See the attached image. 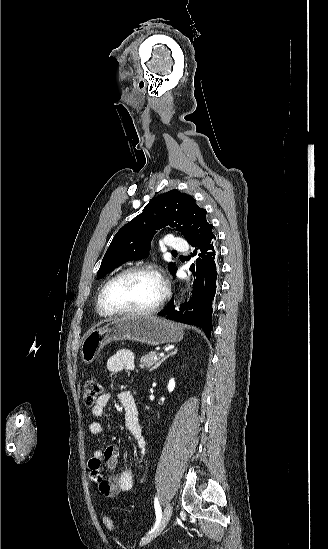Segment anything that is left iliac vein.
I'll return each instance as SVG.
<instances>
[{
  "label": "left iliac vein",
  "mask_w": 328,
  "mask_h": 549,
  "mask_svg": "<svg viewBox=\"0 0 328 549\" xmlns=\"http://www.w3.org/2000/svg\"><path fill=\"white\" fill-rule=\"evenodd\" d=\"M171 514H172V505H171L170 502H168L166 504L165 508H164L162 519H161V522L159 523L158 527L156 528V530L152 534H150L147 538H145L139 544V547L147 545L150 541H152L155 537H157L163 531V529L166 527L167 523L169 522Z\"/></svg>",
  "instance_id": "1"
}]
</instances>
